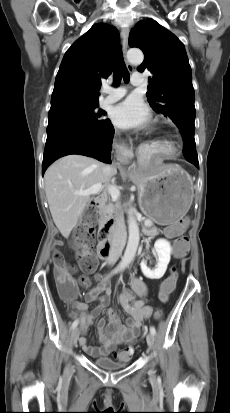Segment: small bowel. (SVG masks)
Returning <instances> with one entry per match:
<instances>
[{"mask_svg": "<svg viewBox=\"0 0 230 413\" xmlns=\"http://www.w3.org/2000/svg\"><path fill=\"white\" fill-rule=\"evenodd\" d=\"M182 228L177 224L169 226L165 230L167 237H175L180 233ZM187 250V248H185ZM99 283L91 288L86 295V302H97V305L88 311L86 303L74 302V312L72 318H75L79 324V344L82 349L91 357L99 358L114 354L119 361H128L130 356L123 350H117L121 345H126L134 341L139 335L140 327L143 322L150 317L152 310L143 300L136 299L131 293L125 291L118 296V302L124 311L129 315L126 323L120 322L118 314L113 309H107L109 325L105 329V320L99 319L97 322L98 340L100 346H90L84 337L86 329L93 321L99 317L101 312L107 308L111 295V288L107 281L102 279L101 275L97 276ZM132 288L140 296H146L148 289L146 284L139 278L132 280Z\"/></svg>", "mask_w": 230, "mask_h": 413, "instance_id": "small-bowel-1", "label": "small bowel"}]
</instances>
